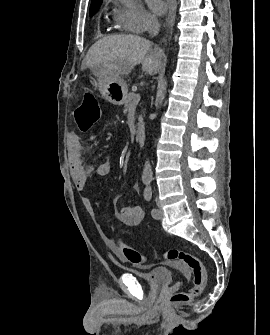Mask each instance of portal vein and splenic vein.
<instances>
[{"label": "portal vein and splenic vein", "instance_id": "18ae733b", "mask_svg": "<svg viewBox=\"0 0 270 335\" xmlns=\"http://www.w3.org/2000/svg\"><path fill=\"white\" fill-rule=\"evenodd\" d=\"M142 96H143V93H142L141 91H138V92L136 93L135 99H136L137 101H140V100L142 99Z\"/></svg>", "mask_w": 270, "mask_h": 335}]
</instances>
